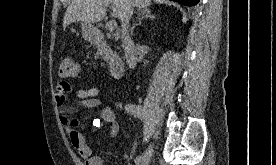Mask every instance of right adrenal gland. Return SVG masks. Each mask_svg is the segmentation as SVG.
I'll return each mask as SVG.
<instances>
[{"label":"right adrenal gland","instance_id":"right-adrenal-gland-1","mask_svg":"<svg viewBox=\"0 0 276 165\" xmlns=\"http://www.w3.org/2000/svg\"><path fill=\"white\" fill-rule=\"evenodd\" d=\"M154 19L155 16L151 14V11L149 8H142V9H139L138 12H137V17H136V21H134L132 27H131V32H133V30L135 29V27L137 25H141L142 23V20L143 19Z\"/></svg>","mask_w":276,"mask_h":165}]
</instances>
